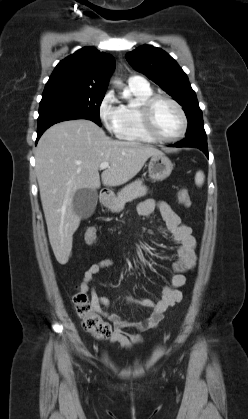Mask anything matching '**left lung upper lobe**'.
Here are the masks:
<instances>
[{
	"mask_svg": "<svg viewBox=\"0 0 248 419\" xmlns=\"http://www.w3.org/2000/svg\"><path fill=\"white\" fill-rule=\"evenodd\" d=\"M125 57L136 71L158 84L184 108L188 120L185 136L205 132L195 91L185 72L169 54L160 48L143 45Z\"/></svg>",
	"mask_w": 248,
	"mask_h": 419,
	"instance_id": "1",
	"label": "left lung upper lobe"
}]
</instances>
